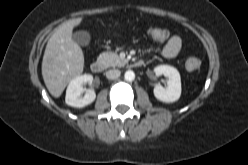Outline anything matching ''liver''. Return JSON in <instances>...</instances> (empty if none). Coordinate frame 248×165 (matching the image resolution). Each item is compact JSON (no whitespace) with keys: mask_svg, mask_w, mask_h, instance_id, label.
Segmentation results:
<instances>
[{"mask_svg":"<svg viewBox=\"0 0 248 165\" xmlns=\"http://www.w3.org/2000/svg\"><path fill=\"white\" fill-rule=\"evenodd\" d=\"M82 18L68 20L59 25L48 40L42 61V76L50 94L58 98L67 84L83 72L84 55L72 39L73 28Z\"/></svg>","mask_w":248,"mask_h":165,"instance_id":"liver-1","label":"liver"}]
</instances>
